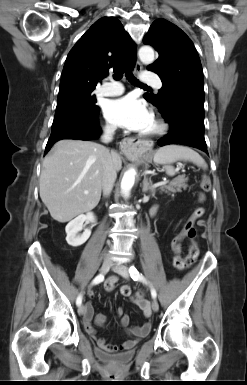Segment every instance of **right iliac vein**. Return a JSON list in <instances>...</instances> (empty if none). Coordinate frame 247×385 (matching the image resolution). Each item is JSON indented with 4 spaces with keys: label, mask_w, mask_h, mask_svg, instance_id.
<instances>
[{
    "label": "right iliac vein",
    "mask_w": 247,
    "mask_h": 385,
    "mask_svg": "<svg viewBox=\"0 0 247 385\" xmlns=\"http://www.w3.org/2000/svg\"><path fill=\"white\" fill-rule=\"evenodd\" d=\"M111 266H112L111 260L110 259H105L103 261L101 269H100L101 273L102 274H106L109 271V269L111 268ZM85 313H86L85 306L84 305H80L79 308H78V314L80 316H83V315H85Z\"/></svg>",
    "instance_id": "63e3f726"
}]
</instances>
